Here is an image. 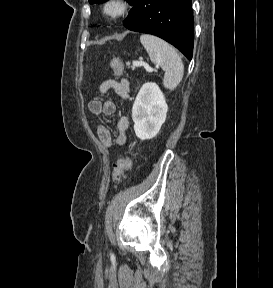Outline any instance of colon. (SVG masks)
Returning <instances> with one entry per match:
<instances>
[{
    "mask_svg": "<svg viewBox=\"0 0 273 288\" xmlns=\"http://www.w3.org/2000/svg\"><path fill=\"white\" fill-rule=\"evenodd\" d=\"M111 66L116 75H121L123 71V62L120 58L115 57L112 60ZM131 164L132 162L129 157L120 158L117 160L112 172L113 183L117 184L126 177L127 172L131 168Z\"/></svg>",
    "mask_w": 273,
    "mask_h": 288,
    "instance_id": "1",
    "label": "colon"
}]
</instances>
